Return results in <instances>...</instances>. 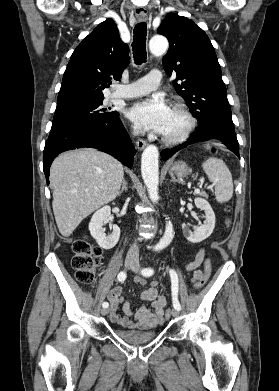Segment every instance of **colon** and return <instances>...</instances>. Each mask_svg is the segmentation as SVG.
<instances>
[{
    "instance_id": "colon-1",
    "label": "colon",
    "mask_w": 279,
    "mask_h": 391,
    "mask_svg": "<svg viewBox=\"0 0 279 391\" xmlns=\"http://www.w3.org/2000/svg\"><path fill=\"white\" fill-rule=\"evenodd\" d=\"M213 150V148H210ZM229 211V208L226 209ZM74 256L72 258V267L75 271L76 279L84 284H90L95 279L96 268L99 265L101 248L93 245L87 237H81L73 243ZM212 270V263L209 258L204 262V271L201 277L194 283L196 290L201 289L208 281ZM171 310L165 312V317L171 316Z\"/></svg>"
}]
</instances>
